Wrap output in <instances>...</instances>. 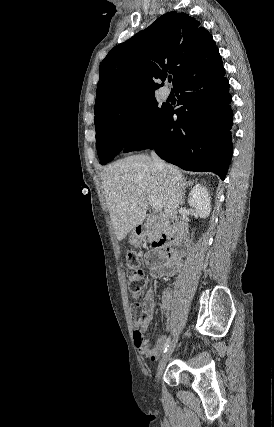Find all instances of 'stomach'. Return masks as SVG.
I'll return each mask as SVG.
<instances>
[{
  "label": "stomach",
  "mask_w": 274,
  "mask_h": 427,
  "mask_svg": "<svg viewBox=\"0 0 274 427\" xmlns=\"http://www.w3.org/2000/svg\"><path fill=\"white\" fill-rule=\"evenodd\" d=\"M144 235L143 233H137V231H131L129 241L131 245H139L143 239Z\"/></svg>",
  "instance_id": "1"
}]
</instances>
